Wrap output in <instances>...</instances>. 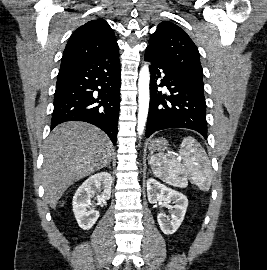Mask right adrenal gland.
<instances>
[{
	"mask_svg": "<svg viewBox=\"0 0 267 270\" xmlns=\"http://www.w3.org/2000/svg\"><path fill=\"white\" fill-rule=\"evenodd\" d=\"M106 167H108L109 169H111V163L109 162L106 166H105V168Z\"/></svg>",
	"mask_w": 267,
	"mask_h": 270,
	"instance_id": "2a0ac1e0",
	"label": "right adrenal gland"
}]
</instances>
